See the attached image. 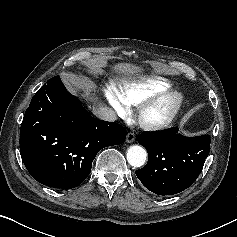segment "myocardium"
<instances>
[{
	"label": "myocardium",
	"instance_id": "obj_1",
	"mask_svg": "<svg viewBox=\"0 0 237 237\" xmlns=\"http://www.w3.org/2000/svg\"><path fill=\"white\" fill-rule=\"evenodd\" d=\"M144 102V101H143ZM183 104V97L175 91H166L155 98L145 100L137 110L139 124L148 130H160L168 127L179 113ZM159 112L157 117L150 114Z\"/></svg>",
	"mask_w": 237,
	"mask_h": 237
}]
</instances>
